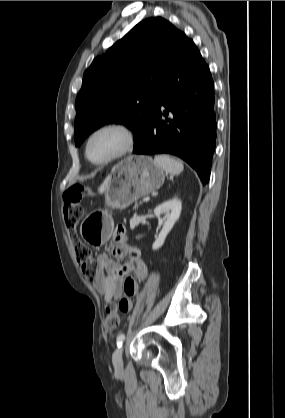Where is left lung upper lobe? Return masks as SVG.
<instances>
[{
	"instance_id": "1",
	"label": "left lung upper lobe",
	"mask_w": 285,
	"mask_h": 418,
	"mask_svg": "<svg viewBox=\"0 0 285 418\" xmlns=\"http://www.w3.org/2000/svg\"><path fill=\"white\" fill-rule=\"evenodd\" d=\"M184 36L169 21L151 17L93 60L76 98V146L107 123L130 128L134 146L142 139Z\"/></svg>"
}]
</instances>
